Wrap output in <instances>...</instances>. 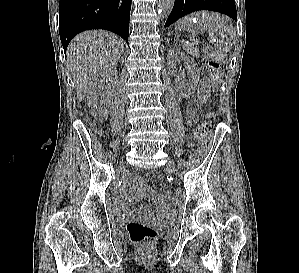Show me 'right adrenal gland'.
Wrapping results in <instances>:
<instances>
[{
	"instance_id": "1",
	"label": "right adrenal gland",
	"mask_w": 299,
	"mask_h": 273,
	"mask_svg": "<svg viewBox=\"0 0 299 273\" xmlns=\"http://www.w3.org/2000/svg\"><path fill=\"white\" fill-rule=\"evenodd\" d=\"M123 54L125 55V53H123ZM120 60H121V62H122V63L124 62V59H123V57H121V59H120Z\"/></svg>"
}]
</instances>
